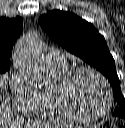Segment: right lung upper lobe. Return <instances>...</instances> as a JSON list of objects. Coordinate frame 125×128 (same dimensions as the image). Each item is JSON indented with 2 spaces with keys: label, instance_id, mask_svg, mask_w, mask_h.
I'll list each match as a JSON object with an SVG mask.
<instances>
[{
  "label": "right lung upper lobe",
  "instance_id": "cb5924a9",
  "mask_svg": "<svg viewBox=\"0 0 125 128\" xmlns=\"http://www.w3.org/2000/svg\"><path fill=\"white\" fill-rule=\"evenodd\" d=\"M23 29L20 17L0 19V62H9L13 45Z\"/></svg>",
  "mask_w": 125,
  "mask_h": 128
}]
</instances>
